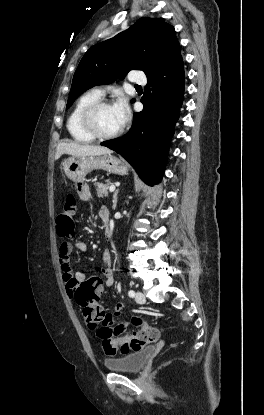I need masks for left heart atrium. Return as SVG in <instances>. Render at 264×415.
Returning <instances> with one entry per match:
<instances>
[{
	"label": "left heart atrium",
	"mask_w": 264,
	"mask_h": 415,
	"mask_svg": "<svg viewBox=\"0 0 264 415\" xmlns=\"http://www.w3.org/2000/svg\"><path fill=\"white\" fill-rule=\"evenodd\" d=\"M113 107L122 124L125 123L129 117V107L126 100L123 97H120Z\"/></svg>",
	"instance_id": "obj_1"
}]
</instances>
